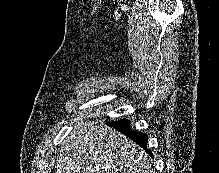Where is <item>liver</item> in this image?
<instances>
[{
	"mask_svg": "<svg viewBox=\"0 0 219 173\" xmlns=\"http://www.w3.org/2000/svg\"><path fill=\"white\" fill-rule=\"evenodd\" d=\"M60 149L56 173H155L148 154L135 142L83 116Z\"/></svg>",
	"mask_w": 219,
	"mask_h": 173,
	"instance_id": "obj_1",
	"label": "liver"
}]
</instances>
